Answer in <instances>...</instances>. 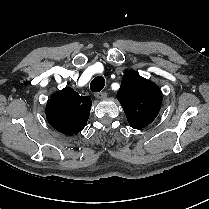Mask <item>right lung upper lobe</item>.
<instances>
[{
  "instance_id": "right-lung-upper-lobe-1",
  "label": "right lung upper lobe",
  "mask_w": 209,
  "mask_h": 209,
  "mask_svg": "<svg viewBox=\"0 0 209 209\" xmlns=\"http://www.w3.org/2000/svg\"><path fill=\"white\" fill-rule=\"evenodd\" d=\"M91 105L89 96H80L71 87H65L51 95L46 105V118L53 128L71 136L86 126Z\"/></svg>"
}]
</instances>
